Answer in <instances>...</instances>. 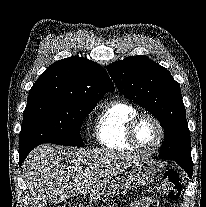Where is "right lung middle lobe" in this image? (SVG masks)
I'll return each instance as SVG.
<instances>
[{
    "mask_svg": "<svg viewBox=\"0 0 206 207\" xmlns=\"http://www.w3.org/2000/svg\"><path fill=\"white\" fill-rule=\"evenodd\" d=\"M95 106L50 98L27 102L19 152L30 151L42 143L83 146L81 125Z\"/></svg>",
    "mask_w": 206,
    "mask_h": 207,
    "instance_id": "1",
    "label": "right lung middle lobe"
}]
</instances>
